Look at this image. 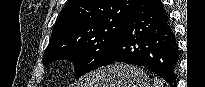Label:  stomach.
<instances>
[{
  "mask_svg": "<svg viewBox=\"0 0 205 87\" xmlns=\"http://www.w3.org/2000/svg\"><path fill=\"white\" fill-rule=\"evenodd\" d=\"M80 87H150V80L142 69L119 64L92 72Z\"/></svg>",
  "mask_w": 205,
  "mask_h": 87,
  "instance_id": "obj_1",
  "label": "stomach"
}]
</instances>
